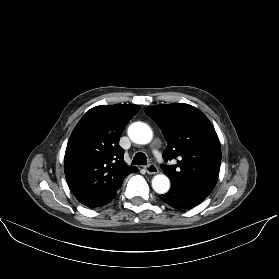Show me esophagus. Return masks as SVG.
<instances>
[{"mask_svg":"<svg viewBox=\"0 0 279 279\" xmlns=\"http://www.w3.org/2000/svg\"><path fill=\"white\" fill-rule=\"evenodd\" d=\"M145 171L148 173V174H156L159 172L157 166L155 164H148L144 167Z\"/></svg>","mask_w":279,"mask_h":279,"instance_id":"34e87169","label":"esophagus"}]
</instances>
